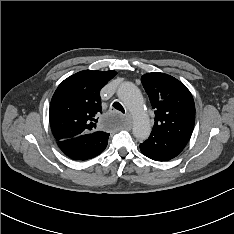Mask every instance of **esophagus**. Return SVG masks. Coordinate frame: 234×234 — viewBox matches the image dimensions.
I'll return each mask as SVG.
<instances>
[{"instance_id": "1", "label": "esophagus", "mask_w": 234, "mask_h": 234, "mask_svg": "<svg viewBox=\"0 0 234 234\" xmlns=\"http://www.w3.org/2000/svg\"><path fill=\"white\" fill-rule=\"evenodd\" d=\"M126 119H127L128 123L131 124L130 117H129V116H126Z\"/></svg>"}]
</instances>
